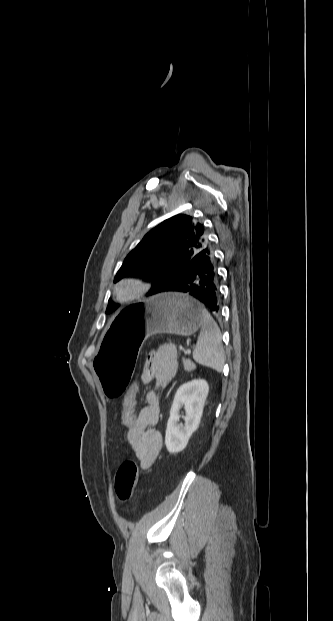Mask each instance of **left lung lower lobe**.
<instances>
[{
	"mask_svg": "<svg viewBox=\"0 0 333 621\" xmlns=\"http://www.w3.org/2000/svg\"><path fill=\"white\" fill-rule=\"evenodd\" d=\"M218 278L215 270L214 253L211 248H202L187 264L186 269L171 280L160 293H188L203 303L212 314L220 310Z\"/></svg>",
	"mask_w": 333,
	"mask_h": 621,
	"instance_id": "1",
	"label": "left lung lower lobe"
}]
</instances>
